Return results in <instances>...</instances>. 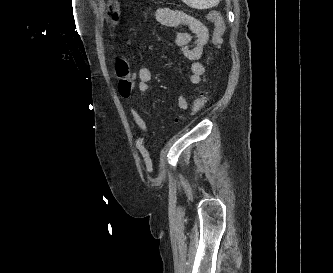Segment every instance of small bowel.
Listing matches in <instances>:
<instances>
[{
    "label": "small bowel",
    "mask_w": 333,
    "mask_h": 273,
    "mask_svg": "<svg viewBox=\"0 0 333 273\" xmlns=\"http://www.w3.org/2000/svg\"><path fill=\"white\" fill-rule=\"evenodd\" d=\"M154 18L162 26L183 28L185 30L177 34L172 39V42L182 50L184 57L189 61V81L193 84L200 83L205 73V66L200 59L209 37L206 24L200 19L174 8L156 9ZM137 77L139 79L138 90L136 94L131 96L128 109L133 121L142 132V135L136 139L135 146L144 161L146 171L150 172L152 171V160L145 147V135L148 132V125L134 103L139 97L153 91L151 85L153 74L149 67L142 66L138 71ZM177 104L183 111H187L190 108V103L183 94L178 96ZM175 120L178 121V119Z\"/></svg>",
    "instance_id": "small-bowel-1"
}]
</instances>
